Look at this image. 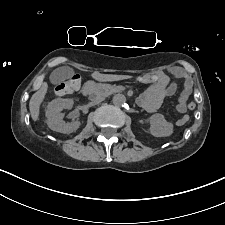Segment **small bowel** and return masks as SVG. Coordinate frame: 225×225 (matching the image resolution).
<instances>
[{
  "instance_id": "1",
  "label": "small bowel",
  "mask_w": 225,
  "mask_h": 225,
  "mask_svg": "<svg viewBox=\"0 0 225 225\" xmlns=\"http://www.w3.org/2000/svg\"><path fill=\"white\" fill-rule=\"evenodd\" d=\"M176 80L183 84V89L177 99V111L181 114L187 110L186 102L192 93L193 81L184 72L183 69L175 67L170 70ZM176 83L171 82L169 76L165 72L158 73V83L148 88L139 98V104L149 113L155 112L166 97L174 95L176 92ZM182 118L188 119L187 115L180 117L176 124L180 125Z\"/></svg>"
}]
</instances>
